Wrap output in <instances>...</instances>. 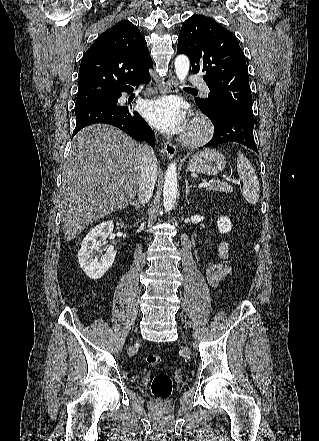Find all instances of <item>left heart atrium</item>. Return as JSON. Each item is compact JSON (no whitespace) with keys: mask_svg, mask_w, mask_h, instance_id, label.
I'll return each instance as SVG.
<instances>
[{"mask_svg":"<svg viewBox=\"0 0 319 441\" xmlns=\"http://www.w3.org/2000/svg\"><path fill=\"white\" fill-rule=\"evenodd\" d=\"M141 112L153 126L169 133L179 132L185 126L179 105L170 98L147 100L142 104Z\"/></svg>","mask_w":319,"mask_h":441,"instance_id":"1","label":"left heart atrium"}]
</instances>
